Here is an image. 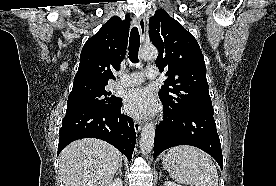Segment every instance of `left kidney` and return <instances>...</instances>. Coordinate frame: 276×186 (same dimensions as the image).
<instances>
[{"label":"left kidney","instance_id":"left-kidney-1","mask_svg":"<svg viewBox=\"0 0 276 186\" xmlns=\"http://www.w3.org/2000/svg\"><path fill=\"white\" fill-rule=\"evenodd\" d=\"M163 186H181V185L176 184L172 181H166Z\"/></svg>","mask_w":276,"mask_h":186}]
</instances>
